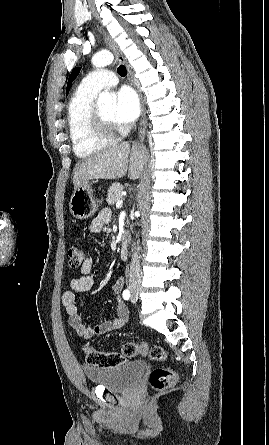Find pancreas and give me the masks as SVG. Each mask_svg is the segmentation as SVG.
Masks as SVG:
<instances>
[{
  "instance_id": "1",
  "label": "pancreas",
  "mask_w": 269,
  "mask_h": 445,
  "mask_svg": "<svg viewBox=\"0 0 269 445\" xmlns=\"http://www.w3.org/2000/svg\"><path fill=\"white\" fill-rule=\"evenodd\" d=\"M122 190H123V186L119 183H113L109 189H108V193H107V203L109 205H114L116 204V202L118 200L122 199Z\"/></svg>"
}]
</instances>
